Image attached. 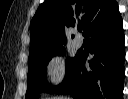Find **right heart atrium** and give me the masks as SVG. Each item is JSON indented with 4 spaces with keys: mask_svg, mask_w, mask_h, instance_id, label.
Listing matches in <instances>:
<instances>
[{
    "mask_svg": "<svg viewBox=\"0 0 128 99\" xmlns=\"http://www.w3.org/2000/svg\"><path fill=\"white\" fill-rule=\"evenodd\" d=\"M47 73L54 86H59L65 81L67 66L64 56L55 55L47 63Z\"/></svg>",
    "mask_w": 128,
    "mask_h": 99,
    "instance_id": "obj_1",
    "label": "right heart atrium"
}]
</instances>
